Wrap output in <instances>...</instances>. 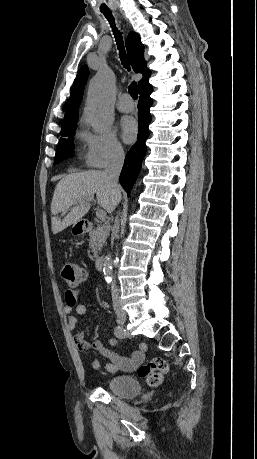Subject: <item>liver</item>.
<instances>
[{
  "mask_svg": "<svg viewBox=\"0 0 257 459\" xmlns=\"http://www.w3.org/2000/svg\"><path fill=\"white\" fill-rule=\"evenodd\" d=\"M96 198L100 207L111 213L121 199V192L114 193L104 171L89 170L69 174L55 187L51 202L52 232L57 234L82 220L90 209L89 199ZM67 215L61 219L58 214Z\"/></svg>",
  "mask_w": 257,
  "mask_h": 459,
  "instance_id": "1",
  "label": "liver"
}]
</instances>
